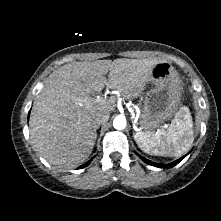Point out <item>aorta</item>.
I'll return each mask as SVG.
<instances>
[{
	"label": "aorta",
	"instance_id": "obj_1",
	"mask_svg": "<svg viewBox=\"0 0 221 221\" xmlns=\"http://www.w3.org/2000/svg\"><path fill=\"white\" fill-rule=\"evenodd\" d=\"M113 127L117 130H122L126 127V118L122 115L115 117Z\"/></svg>",
	"mask_w": 221,
	"mask_h": 221
}]
</instances>
